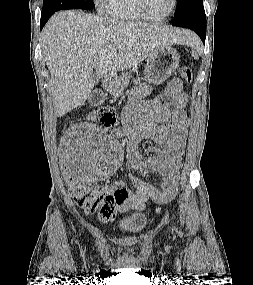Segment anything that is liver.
Masks as SVG:
<instances>
[{
  "label": "liver",
  "instance_id": "1",
  "mask_svg": "<svg viewBox=\"0 0 253 285\" xmlns=\"http://www.w3.org/2000/svg\"><path fill=\"white\" fill-rule=\"evenodd\" d=\"M190 37L168 26L123 22L80 10L56 13L42 32L56 115L86 101L95 84L94 70L98 77H107L136 66L162 46L184 44Z\"/></svg>",
  "mask_w": 253,
  "mask_h": 285
}]
</instances>
